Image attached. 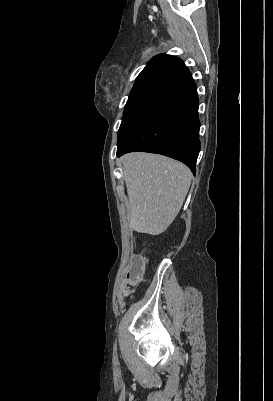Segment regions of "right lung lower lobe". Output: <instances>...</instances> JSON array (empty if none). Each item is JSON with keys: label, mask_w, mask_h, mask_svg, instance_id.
<instances>
[{"label": "right lung lower lobe", "mask_w": 273, "mask_h": 401, "mask_svg": "<svg viewBox=\"0 0 273 401\" xmlns=\"http://www.w3.org/2000/svg\"><path fill=\"white\" fill-rule=\"evenodd\" d=\"M199 128L198 96L193 82L145 119L117 148V156L133 151L158 153L183 162L195 174Z\"/></svg>", "instance_id": "obj_1"}]
</instances>
